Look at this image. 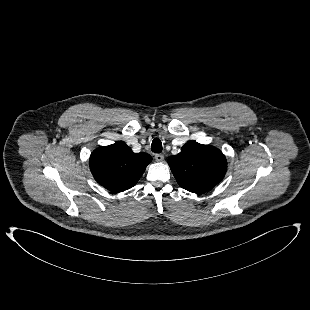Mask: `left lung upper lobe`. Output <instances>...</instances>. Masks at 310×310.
I'll use <instances>...</instances> for the list:
<instances>
[{
	"mask_svg": "<svg viewBox=\"0 0 310 310\" xmlns=\"http://www.w3.org/2000/svg\"><path fill=\"white\" fill-rule=\"evenodd\" d=\"M168 164L178 184L193 193L210 191L227 170L226 158L219 149L195 141L187 142Z\"/></svg>",
	"mask_w": 310,
	"mask_h": 310,
	"instance_id": "obj_1",
	"label": "left lung upper lobe"
}]
</instances>
